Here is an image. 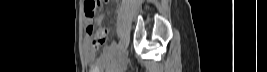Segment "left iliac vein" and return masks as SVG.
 Wrapping results in <instances>:
<instances>
[{
	"instance_id": "left-iliac-vein-1",
	"label": "left iliac vein",
	"mask_w": 267,
	"mask_h": 72,
	"mask_svg": "<svg viewBox=\"0 0 267 72\" xmlns=\"http://www.w3.org/2000/svg\"><path fill=\"white\" fill-rule=\"evenodd\" d=\"M127 61V54L126 52L123 53L122 57H121V65H124Z\"/></svg>"
}]
</instances>
